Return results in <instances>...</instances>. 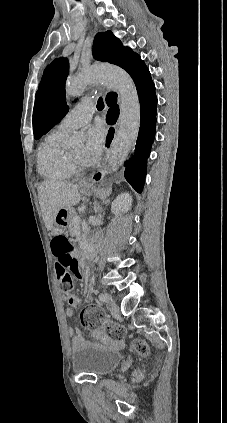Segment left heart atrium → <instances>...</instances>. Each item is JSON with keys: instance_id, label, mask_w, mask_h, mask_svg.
Instances as JSON below:
<instances>
[{"instance_id": "obj_1", "label": "left heart atrium", "mask_w": 227, "mask_h": 423, "mask_svg": "<svg viewBox=\"0 0 227 423\" xmlns=\"http://www.w3.org/2000/svg\"><path fill=\"white\" fill-rule=\"evenodd\" d=\"M107 130L104 126L97 125L88 131V140L84 148L82 160L88 165L96 164L105 149Z\"/></svg>"}]
</instances>
